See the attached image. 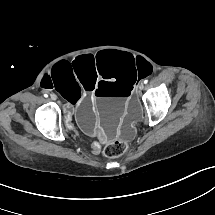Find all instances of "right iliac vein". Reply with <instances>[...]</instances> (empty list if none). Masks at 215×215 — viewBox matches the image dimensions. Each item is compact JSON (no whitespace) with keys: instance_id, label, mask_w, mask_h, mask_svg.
Segmentation results:
<instances>
[{"instance_id":"63e3f726","label":"right iliac vein","mask_w":215,"mask_h":215,"mask_svg":"<svg viewBox=\"0 0 215 215\" xmlns=\"http://www.w3.org/2000/svg\"><path fill=\"white\" fill-rule=\"evenodd\" d=\"M57 96L55 94H51V99L56 100Z\"/></svg>"}]
</instances>
